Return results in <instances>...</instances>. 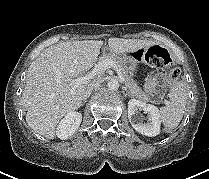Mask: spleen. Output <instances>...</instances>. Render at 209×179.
Here are the masks:
<instances>
[{"label": "spleen", "instance_id": "obj_1", "mask_svg": "<svg viewBox=\"0 0 209 179\" xmlns=\"http://www.w3.org/2000/svg\"><path fill=\"white\" fill-rule=\"evenodd\" d=\"M168 97L170 99L167 106L159 110L161 122L167 129L176 128L181 122L188 99V93L185 83L177 82L170 90Z\"/></svg>", "mask_w": 209, "mask_h": 179}]
</instances>
